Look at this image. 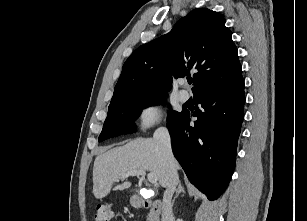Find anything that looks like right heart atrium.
Wrapping results in <instances>:
<instances>
[{
  "label": "right heart atrium",
  "instance_id": "d8ad5b80",
  "mask_svg": "<svg viewBox=\"0 0 307 221\" xmlns=\"http://www.w3.org/2000/svg\"><path fill=\"white\" fill-rule=\"evenodd\" d=\"M160 119V106L157 103H150L144 106L139 112V125L144 128L154 126Z\"/></svg>",
  "mask_w": 307,
  "mask_h": 221
}]
</instances>
